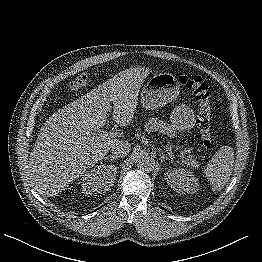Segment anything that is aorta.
<instances>
[{
    "instance_id": "1",
    "label": "aorta",
    "mask_w": 262,
    "mask_h": 262,
    "mask_svg": "<svg viewBox=\"0 0 262 262\" xmlns=\"http://www.w3.org/2000/svg\"><path fill=\"white\" fill-rule=\"evenodd\" d=\"M137 162L141 168H146L150 165V158L145 153H138Z\"/></svg>"
}]
</instances>
